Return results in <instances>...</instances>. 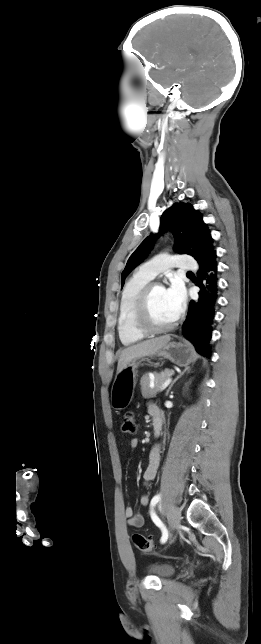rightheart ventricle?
Wrapping results in <instances>:
<instances>
[{"label": "right heart ventricle", "mask_w": 261, "mask_h": 644, "mask_svg": "<svg viewBox=\"0 0 261 644\" xmlns=\"http://www.w3.org/2000/svg\"><path fill=\"white\" fill-rule=\"evenodd\" d=\"M151 279L138 271L126 282L122 290L117 331L119 339L124 345L135 344L145 337V334L134 325V309L141 290Z\"/></svg>", "instance_id": "e07e8e85"}]
</instances>
